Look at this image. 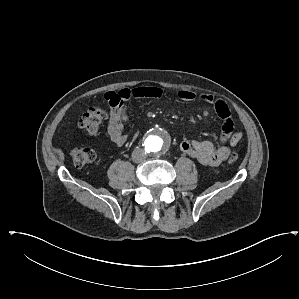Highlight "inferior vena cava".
Here are the masks:
<instances>
[{"instance_id": "602c4592", "label": "inferior vena cava", "mask_w": 299, "mask_h": 299, "mask_svg": "<svg viewBox=\"0 0 299 299\" xmlns=\"http://www.w3.org/2000/svg\"><path fill=\"white\" fill-rule=\"evenodd\" d=\"M146 159V153L143 149L138 148L132 152V160L135 163H142Z\"/></svg>"}]
</instances>
